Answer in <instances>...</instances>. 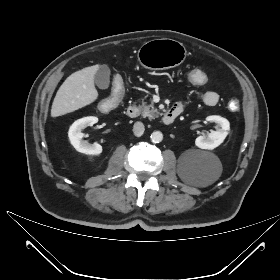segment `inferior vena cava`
<instances>
[{"mask_svg":"<svg viewBox=\"0 0 280 280\" xmlns=\"http://www.w3.org/2000/svg\"><path fill=\"white\" fill-rule=\"evenodd\" d=\"M144 124L142 122H136L133 126L134 135L140 137L144 133Z\"/></svg>","mask_w":280,"mask_h":280,"instance_id":"obj_1","label":"inferior vena cava"}]
</instances>
